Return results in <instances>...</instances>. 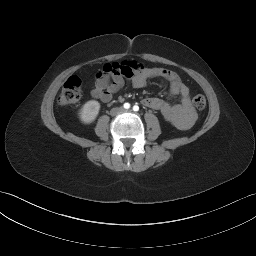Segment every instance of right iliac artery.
<instances>
[{
	"mask_svg": "<svg viewBox=\"0 0 256 256\" xmlns=\"http://www.w3.org/2000/svg\"><path fill=\"white\" fill-rule=\"evenodd\" d=\"M123 107H124L125 109H129V108H130V104H129V103H125V104L123 105Z\"/></svg>",
	"mask_w": 256,
	"mask_h": 256,
	"instance_id": "obj_1",
	"label": "right iliac artery"
}]
</instances>
